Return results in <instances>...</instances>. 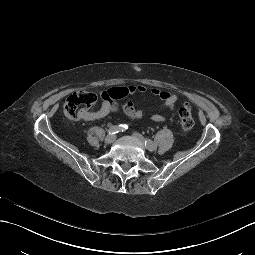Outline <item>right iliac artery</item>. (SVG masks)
<instances>
[{
  "label": "right iliac artery",
  "instance_id": "82829eb1",
  "mask_svg": "<svg viewBox=\"0 0 255 255\" xmlns=\"http://www.w3.org/2000/svg\"><path fill=\"white\" fill-rule=\"evenodd\" d=\"M128 128V126L127 125H123V124H121V125H117V126H111L109 129H108V134L109 135H113V134H116V133H118V132H123V131H125L126 129Z\"/></svg>",
  "mask_w": 255,
  "mask_h": 255
}]
</instances>
